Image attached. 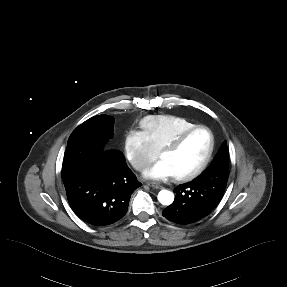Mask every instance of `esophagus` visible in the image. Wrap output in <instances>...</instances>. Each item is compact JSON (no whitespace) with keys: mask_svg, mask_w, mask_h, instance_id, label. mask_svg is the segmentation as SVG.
Wrapping results in <instances>:
<instances>
[{"mask_svg":"<svg viewBox=\"0 0 287 287\" xmlns=\"http://www.w3.org/2000/svg\"><path fill=\"white\" fill-rule=\"evenodd\" d=\"M148 186L152 187L153 189H162L163 187L154 183H148Z\"/></svg>","mask_w":287,"mask_h":287,"instance_id":"obj_1","label":"esophagus"}]
</instances>
